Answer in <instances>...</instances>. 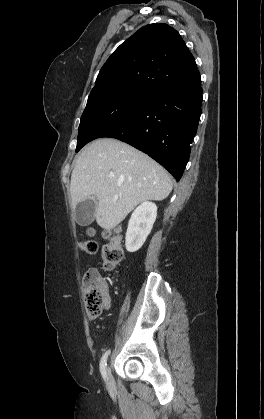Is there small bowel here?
Masks as SVG:
<instances>
[{"mask_svg":"<svg viewBox=\"0 0 264 419\" xmlns=\"http://www.w3.org/2000/svg\"><path fill=\"white\" fill-rule=\"evenodd\" d=\"M108 305H109V301H108V299H107L106 306H108Z\"/></svg>","mask_w":264,"mask_h":419,"instance_id":"c3829d8e","label":"small bowel"}]
</instances>
